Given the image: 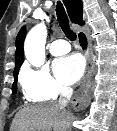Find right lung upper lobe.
Here are the masks:
<instances>
[{"mask_svg":"<svg viewBox=\"0 0 117 131\" xmlns=\"http://www.w3.org/2000/svg\"><path fill=\"white\" fill-rule=\"evenodd\" d=\"M68 15L73 23L84 25L82 21L83 18V9H82V1L81 0H63ZM26 36L25 27H22L16 38V55H15V68H14V76L18 75V71L20 66L24 61V53H23V43Z\"/></svg>","mask_w":117,"mask_h":131,"instance_id":"cb5924a9","label":"right lung upper lobe"}]
</instances>
